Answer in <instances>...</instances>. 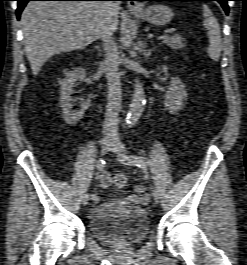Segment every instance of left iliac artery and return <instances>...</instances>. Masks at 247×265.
I'll use <instances>...</instances> for the list:
<instances>
[{
    "label": "left iliac artery",
    "instance_id": "left-iliac-artery-1",
    "mask_svg": "<svg viewBox=\"0 0 247 265\" xmlns=\"http://www.w3.org/2000/svg\"><path fill=\"white\" fill-rule=\"evenodd\" d=\"M121 161H123L127 164L139 166V167L151 164V162L148 158L143 157V156H135V155H130V156L124 155L121 158Z\"/></svg>",
    "mask_w": 247,
    "mask_h": 265
}]
</instances>
